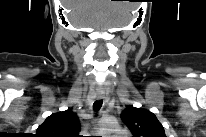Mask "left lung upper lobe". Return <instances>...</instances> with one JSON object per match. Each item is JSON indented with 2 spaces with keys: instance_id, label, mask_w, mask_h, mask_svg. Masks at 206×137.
I'll use <instances>...</instances> for the list:
<instances>
[{
  "instance_id": "left-lung-upper-lobe-1",
  "label": "left lung upper lobe",
  "mask_w": 206,
  "mask_h": 137,
  "mask_svg": "<svg viewBox=\"0 0 206 137\" xmlns=\"http://www.w3.org/2000/svg\"><path fill=\"white\" fill-rule=\"evenodd\" d=\"M121 119L133 137H166L164 128L155 114L146 109L128 106L121 113Z\"/></svg>"
}]
</instances>
